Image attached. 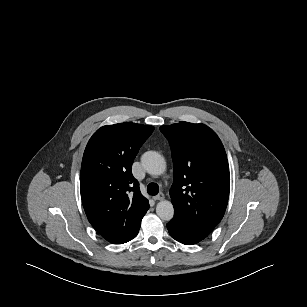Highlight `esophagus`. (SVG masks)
<instances>
[{"mask_svg": "<svg viewBox=\"0 0 307 307\" xmlns=\"http://www.w3.org/2000/svg\"><path fill=\"white\" fill-rule=\"evenodd\" d=\"M164 197H165V196H164L163 193H159L158 195L153 196V199H154L155 201H159V200H163Z\"/></svg>", "mask_w": 307, "mask_h": 307, "instance_id": "34e87169", "label": "esophagus"}]
</instances>
